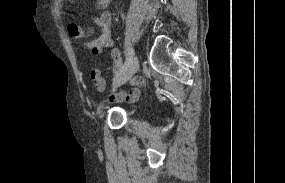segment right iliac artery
I'll list each match as a JSON object with an SVG mask.
<instances>
[{
    "label": "right iliac artery",
    "instance_id": "82829eb1",
    "mask_svg": "<svg viewBox=\"0 0 285 183\" xmlns=\"http://www.w3.org/2000/svg\"><path fill=\"white\" fill-rule=\"evenodd\" d=\"M133 55H134L133 49H132V48H129V49H128V53H127L126 62H125V64H124V66L122 67L120 73H119L116 77L120 76V75L127 69V67L130 65V63H131L132 60H133Z\"/></svg>",
    "mask_w": 285,
    "mask_h": 183
}]
</instances>
